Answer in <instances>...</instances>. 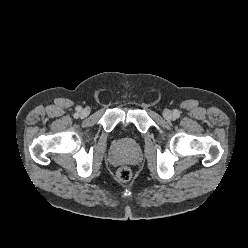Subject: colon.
I'll return each instance as SVG.
<instances>
[{"instance_id":"obj_1","label":"colon","mask_w":248,"mask_h":248,"mask_svg":"<svg viewBox=\"0 0 248 248\" xmlns=\"http://www.w3.org/2000/svg\"><path fill=\"white\" fill-rule=\"evenodd\" d=\"M116 177L121 182H127L132 177V171L129 167L122 166L117 170Z\"/></svg>"}]
</instances>
